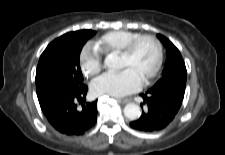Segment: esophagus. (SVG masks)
<instances>
[{
	"instance_id": "obj_1",
	"label": "esophagus",
	"mask_w": 225,
	"mask_h": 155,
	"mask_svg": "<svg viewBox=\"0 0 225 155\" xmlns=\"http://www.w3.org/2000/svg\"><path fill=\"white\" fill-rule=\"evenodd\" d=\"M118 102L122 103V104H127L130 102L129 98H124V99H117Z\"/></svg>"
}]
</instances>
